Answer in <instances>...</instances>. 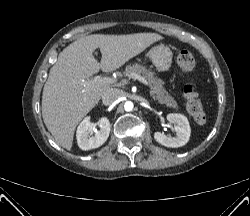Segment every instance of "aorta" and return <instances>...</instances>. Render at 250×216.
<instances>
[{
    "instance_id": "obj_1",
    "label": "aorta",
    "mask_w": 250,
    "mask_h": 216,
    "mask_svg": "<svg viewBox=\"0 0 250 216\" xmlns=\"http://www.w3.org/2000/svg\"><path fill=\"white\" fill-rule=\"evenodd\" d=\"M124 109L129 112L133 110V103L131 101H126L124 104Z\"/></svg>"
}]
</instances>
